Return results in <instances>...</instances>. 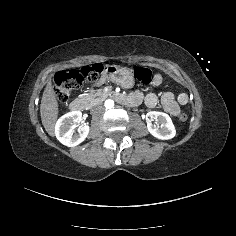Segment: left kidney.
<instances>
[{"mask_svg": "<svg viewBox=\"0 0 236 236\" xmlns=\"http://www.w3.org/2000/svg\"><path fill=\"white\" fill-rule=\"evenodd\" d=\"M147 119L152 121L157 119L160 127L149 123L147 125L149 133L159 140H170L175 137L176 129L169 115L163 112H150Z\"/></svg>", "mask_w": 236, "mask_h": 236, "instance_id": "left-kidney-1", "label": "left kidney"}]
</instances>
